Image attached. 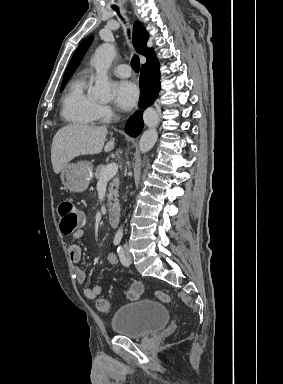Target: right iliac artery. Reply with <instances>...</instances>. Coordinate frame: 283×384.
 Returning a JSON list of instances; mask_svg holds the SVG:
<instances>
[{
	"mask_svg": "<svg viewBox=\"0 0 283 384\" xmlns=\"http://www.w3.org/2000/svg\"><path fill=\"white\" fill-rule=\"evenodd\" d=\"M120 241H121V236L116 235L115 238H114L113 243H114V245H118Z\"/></svg>",
	"mask_w": 283,
	"mask_h": 384,
	"instance_id": "82829eb1",
	"label": "right iliac artery"
}]
</instances>
